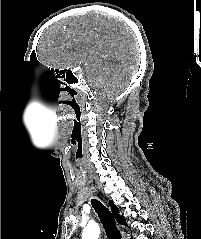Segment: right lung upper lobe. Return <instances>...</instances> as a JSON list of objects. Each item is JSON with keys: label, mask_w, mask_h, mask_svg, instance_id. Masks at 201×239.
Here are the masks:
<instances>
[{"label": "right lung upper lobe", "mask_w": 201, "mask_h": 239, "mask_svg": "<svg viewBox=\"0 0 201 239\" xmlns=\"http://www.w3.org/2000/svg\"><path fill=\"white\" fill-rule=\"evenodd\" d=\"M109 206L111 207V210H112L116 220L119 223H122V224L127 226V223H126L124 217L119 215V209L116 207V205L112 201H109Z\"/></svg>", "instance_id": "1"}]
</instances>
